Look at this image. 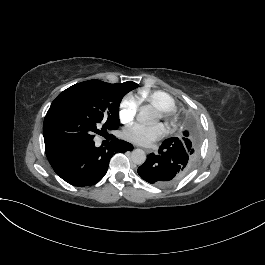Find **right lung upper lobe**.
I'll return each mask as SVG.
<instances>
[{"label":"right lung upper lobe","mask_w":265,"mask_h":265,"mask_svg":"<svg viewBox=\"0 0 265 265\" xmlns=\"http://www.w3.org/2000/svg\"><path fill=\"white\" fill-rule=\"evenodd\" d=\"M126 84H129V85H131V86H136L137 84L136 83H134V82H125Z\"/></svg>","instance_id":"obj_1"}]
</instances>
